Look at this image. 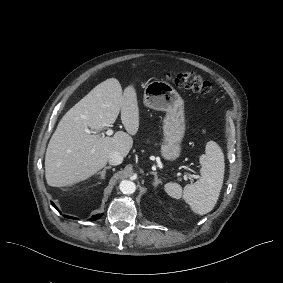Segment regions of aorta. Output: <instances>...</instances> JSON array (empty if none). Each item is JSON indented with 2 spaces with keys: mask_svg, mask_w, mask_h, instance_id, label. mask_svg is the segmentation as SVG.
<instances>
[{
  "mask_svg": "<svg viewBox=\"0 0 283 283\" xmlns=\"http://www.w3.org/2000/svg\"><path fill=\"white\" fill-rule=\"evenodd\" d=\"M119 188L123 194H133L136 190V185L130 180H122Z\"/></svg>",
  "mask_w": 283,
  "mask_h": 283,
  "instance_id": "obj_1",
  "label": "aorta"
}]
</instances>
